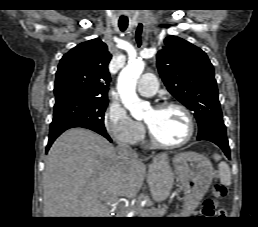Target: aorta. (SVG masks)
Masks as SVG:
<instances>
[{
    "instance_id": "1",
    "label": "aorta",
    "mask_w": 258,
    "mask_h": 227,
    "mask_svg": "<svg viewBox=\"0 0 258 227\" xmlns=\"http://www.w3.org/2000/svg\"><path fill=\"white\" fill-rule=\"evenodd\" d=\"M144 67L145 63L142 60L129 61L120 72L117 81V89L121 101L134 118L142 117L144 110L149 106L136 93L137 81Z\"/></svg>"
}]
</instances>
